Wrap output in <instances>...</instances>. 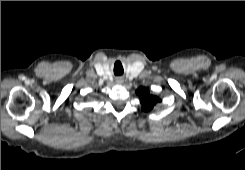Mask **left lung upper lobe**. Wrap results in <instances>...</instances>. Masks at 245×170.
Listing matches in <instances>:
<instances>
[{
    "label": "left lung upper lobe",
    "mask_w": 245,
    "mask_h": 170,
    "mask_svg": "<svg viewBox=\"0 0 245 170\" xmlns=\"http://www.w3.org/2000/svg\"><path fill=\"white\" fill-rule=\"evenodd\" d=\"M136 93L141 97L142 110L145 112L150 111L157 102H160V99L157 96L149 94L147 88L139 87L136 90Z\"/></svg>",
    "instance_id": "1"
}]
</instances>
